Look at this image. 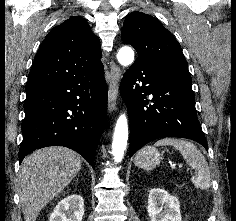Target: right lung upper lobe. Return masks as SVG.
Wrapping results in <instances>:
<instances>
[{"label": "right lung upper lobe", "instance_id": "1", "mask_svg": "<svg viewBox=\"0 0 236 221\" xmlns=\"http://www.w3.org/2000/svg\"><path fill=\"white\" fill-rule=\"evenodd\" d=\"M100 43L85 19L72 16L55 26L35 56L26 89L103 69Z\"/></svg>", "mask_w": 236, "mask_h": 221}]
</instances>
